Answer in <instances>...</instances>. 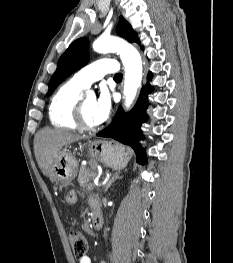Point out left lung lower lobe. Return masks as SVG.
Instances as JSON below:
<instances>
[{
    "mask_svg": "<svg viewBox=\"0 0 233 263\" xmlns=\"http://www.w3.org/2000/svg\"><path fill=\"white\" fill-rule=\"evenodd\" d=\"M147 79H151L150 74ZM151 90L152 87L147 84L146 87L142 89V93L149 94ZM147 105V101L140 97L135 107L129 113H124L123 109L119 107L110 126L99 132L97 136L113 138L123 144L131 146L135 151L137 161L144 163L145 149L139 145V141L143 139L140 127L147 119V114L144 111L147 109Z\"/></svg>",
    "mask_w": 233,
    "mask_h": 263,
    "instance_id": "0a47b994",
    "label": "left lung lower lobe"
}]
</instances>
